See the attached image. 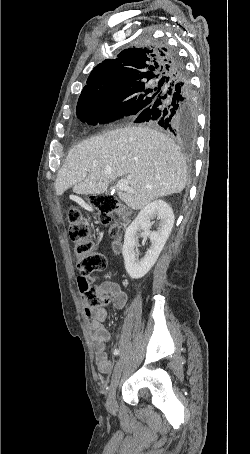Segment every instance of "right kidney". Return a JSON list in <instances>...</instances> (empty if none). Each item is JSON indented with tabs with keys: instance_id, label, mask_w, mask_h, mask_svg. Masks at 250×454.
Here are the masks:
<instances>
[{
	"instance_id": "right-kidney-1",
	"label": "right kidney",
	"mask_w": 250,
	"mask_h": 454,
	"mask_svg": "<svg viewBox=\"0 0 250 454\" xmlns=\"http://www.w3.org/2000/svg\"><path fill=\"white\" fill-rule=\"evenodd\" d=\"M160 220L157 231H150L152 219ZM174 225L172 208L164 200H155L145 206L126 229L122 254L125 269L133 279L142 278L156 263ZM144 230L149 237L151 247L145 256L138 261L135 247L138 243V231Z\"/></svg>"
}]
</instances>
